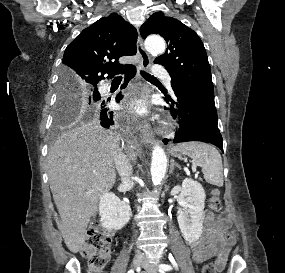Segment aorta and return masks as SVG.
Listing matches in <instances>:
<instances>
[{
  "mask_svg": "<svg viewBox=\"0 0 285 273\" xmlns=\"http://www.w3.org/2000/svg\"><path fill=\"white\" fill-rule=\"evenodd\" d=\"M146 49L151 53L161 54L165 51V41L159 36H150L145 41ZM167 168V158L164 150L155 145L152 151L151 177L155 186L161 184Z\"/></svg>",
  "mask_w": 285,
  "mask_h": 273,
  "instance_id": "762f6f07",
  "label": "aorta"
}]
</instances>
